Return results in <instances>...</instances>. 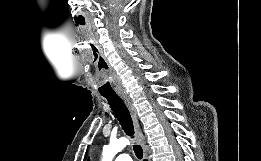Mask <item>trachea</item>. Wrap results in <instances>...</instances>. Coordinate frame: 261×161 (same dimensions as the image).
<instances>
[{
    "label": "trachea",
    "mask_w": 261,
    "mask_h": 161,
    "mask_svg": "<svg viewBox=\"0 0 261 161\" xmlns=\"http://www.w3.org/2000/svg\"><path fill=\"white\" fill-rule=\"evenodd\" d=\"M103 96L107 99L113 113L118 119L124 132L128 136L133 138L134 127H133L132 118L123 100L118 95H103ZM133 150L138 159L143 158V150L140 145L134 144Z\"/></svg>",
    "instance_id": "trachea-1"
}]
</instances>
